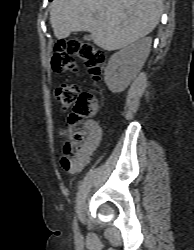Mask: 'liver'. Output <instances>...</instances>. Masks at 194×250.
<instances>
[{
  "label": "liver",
  "mask_w": 194,
  "mask_h": 250,
  "mask_svg": "<svg viewBox=\"0 0 194 250\" xmlns=\"http://www.w3.org/2000/svg\"><path fill=\"white\" fill-rule=\"evenodd\" d=\"M50 23L56 38L87 31L97 46L113 51L151 33L163 0H53Z\"/></svg>",
  "instance_id": "obj_1"
}]
</instances>
